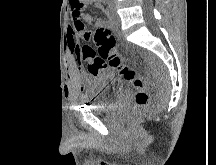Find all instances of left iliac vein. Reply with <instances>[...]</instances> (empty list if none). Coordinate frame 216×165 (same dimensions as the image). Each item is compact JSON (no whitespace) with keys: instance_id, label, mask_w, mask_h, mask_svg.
<instances>
[{"instance_id":"1","label":"left iliac vein","mask_w":216,"mask_h":165,"mask_svg":"<svg viewBox=\"0 0 216 165\" xmlns=\"http://www.w3.org/2000/svg\"><path fill=\"white\" fill-rule=\"evenodd\" d=\"M113 21H114V23L117 24V25L120 24V17H119V15L116 13L115 3L113 4Z\"/></svg>"}]
</instances>
